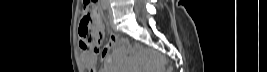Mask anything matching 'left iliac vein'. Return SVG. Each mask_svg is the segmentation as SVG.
<instances>
[{"label": "left iliac vein", "mask_w": 267, "mask_h": 72, "mask_svg": "<svg viewBox=\"0 0 267 72\" xmlns=\"http://www.w3.org/2000/svg\"><path fill=\"white\" fill-rule=\"evenodd\" d=\"M109 20H110L111 25L113 26V15H112L111 9H109Z\"/></svg>", "instance_id": "4c4485c4"}]
</instances>
